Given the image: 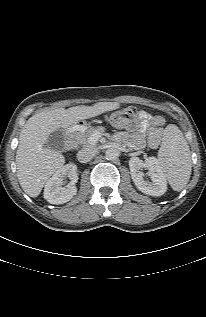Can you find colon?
<instances>
[{
  "label": "colon",
  "instance_id": "obj_1",
  "mask_svg": "<svg viewBox=\"0 0 206 317\" xmlns=\"http://www.w3.org/2000/svg\"><path fill=\"white\" fill-rule=\"evenodd\" d=\"M137 117V110L133 107H128L111 113L107 120L114 127L131 128L136 123Z\"/></svg>",
  "mask_w": 206,
  "mask_h": 317
}]
</instances>
